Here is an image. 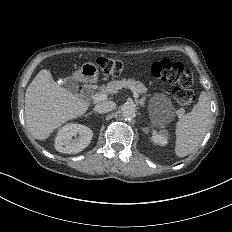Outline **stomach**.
I'll return each instance as SVG.
<instances>
[{"instance_id":"obj_1","label":"stomach","mask_w":232,"mask_h":232,"mask_svg":"<svg viewBox=\"0 0 232 232\" xmlns=\"http://www.w3.org/2000/svg\"><path fill=\"white\" fill-rule=\"evenodd\" d=\"M80 72L84 77L85 81L93 82L97 80L98 77V67L94 63H84L81 66Z\"/></svg>"}]
</instances>
